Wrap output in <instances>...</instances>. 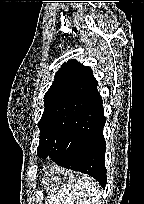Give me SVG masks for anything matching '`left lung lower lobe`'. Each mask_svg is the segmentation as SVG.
<instances>
[{"mask_svg":"<svg viewBox=\"0 0 144 204\" xmlns=\"http://www.w3.org/2000/svg\"><path fill=\"white\" fill-rule=\"evenodd\" d=\"M96 86L95 81L87 89L86 98L71 119L63 140L42 157L49 156L59 166L86 173L104 187L107 182L103 137L106 118Z\"/></svg>","mask_w":144,"mask_h":204,"instance_id":"1","label":"left lung lower lobe"}]
</instances>
